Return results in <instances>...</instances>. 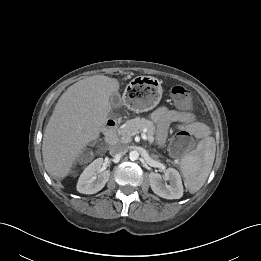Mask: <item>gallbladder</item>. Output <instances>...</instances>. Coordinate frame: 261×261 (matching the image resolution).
I'll use <instances>...</instances> for the list:
<instances>
[{
  "label": "gallbladder",
  "instance_id": "bac80fb5",
  "mask_svg": "<svg viewBox=\"0 0 261 261\" xmlns=\"http://www.w3.org/2000/svg\"><path fill=\"white\" fill-rule=\"evenodd\" d=\"M110 103L112 107H118L121 104V96L118 93L113 94L110 97Z\"/></svg>",
  "mask_w": 261,
  "mask_h": 261
}]
</instances>
